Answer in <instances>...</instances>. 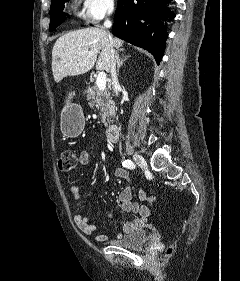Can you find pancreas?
Masks as SVG:
<instances>
[{
	"instance_id": "obj_1",
	"label": "pancreas",
	"mask_w": 240,
	"mask_h": 281,
	"mask_svg": "<svg viewBox=\"0 0 240 281\" xmlns=\"http://www.w3.org/2000/svg\"><path fill=\"white\" fill-rule=\"evenodd\" d=\"M86 98L89 101L90 107H96L101 111L102 123L104 126H108L111 122L110 116L115 114V103L110 97V91H100L96 85H92L85 91Z\"/></svg>"
}]
</instances>
